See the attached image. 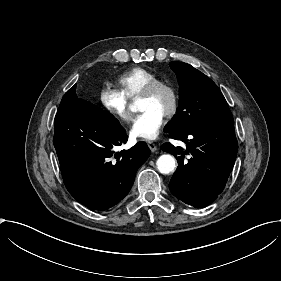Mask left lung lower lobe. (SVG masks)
Segmentation results:
<instances>
[{
  "label": "left lung lower lobe",
  "mask_w": 281,
  "mask_h": 281,
  "mask_svg": "<svg viewBox=\"0 0 281 281\" xmlns=\"http://www.w3.org/2000/svg\"><path fill=\"white\" fill-rule=\"evenodd\" d=\"M169 137L187 143V151L170 143L161 146L178 161L169 183L172 194L196 208L211 204L223 191L236 159L238 143L234 121L196 126L169 133ZM187 154L191 155L188 162Z\"/></svg>",
  "instance_id": "1"
}]
</instances>
